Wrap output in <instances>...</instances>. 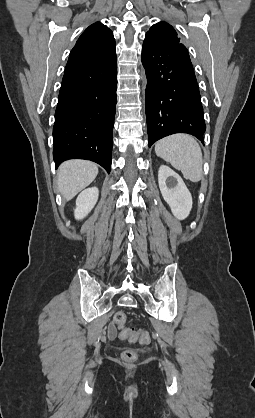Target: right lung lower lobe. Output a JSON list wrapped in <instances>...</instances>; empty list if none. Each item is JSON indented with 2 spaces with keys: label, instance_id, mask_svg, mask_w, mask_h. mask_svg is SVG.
I'll return each instance as SVG.
<instances>
[{
  "label": "right lung lower lobe",
  "instance_id": "right-lung-lower-lobe-1",
  "mask_svg": "<svg viewBox=\"0 0 255 418\" xmlns=\"http://www.w3.org/2000/svg\"><path fill=\"white\" fill-rule=\"evenodd\" d=\"M116 75V58L65 71L53 127L56 167L68 159H86L110 172Z\"/></svg>",
  "mask_w": 255,
  "mask_h": 418
}]
</instances>
